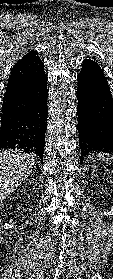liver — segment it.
I'll list each match as a JSON object with an SVG mask.
<instances>
[{
  "instance_id": "liver-1",
  "label": "liver",
  "mask_w": 113,
  "mask_h": 279,
  "mask_svg": "<svg viewBox=\"0 0 113 279\" xmlns=\"http://www.w3.org/2000/svg\"><path fill=\"white\" fill-rule=\"evenodd\" d=\"M35 156L19 149L0 151V201L2 202L28 178Z\"/></svg>"
}]
</instances>
